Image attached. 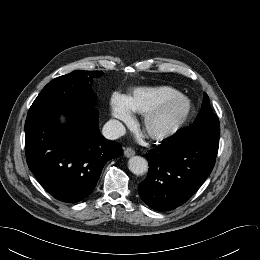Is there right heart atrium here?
Returning a JSON list of instances; mask_svg holds the SVG:
<instances>
[{
  "label": "right heart atrium",
  "mask_w": 260,
  "mask_h": 260,
  "mask_svg": "<svg viewBox=\"0 0 260 260\" xmlns=\"http://www.w3.org/2000/svg\"><path fill=\"white\" fill-rule=\"evenodd\" d=\"M110 106L113 118V130L115 132H120L122 124L131 122V111L127 106L126 99L118 94L113 95Z\"/></svg>",
  "instance_id": "obj_1"
}]
</instances>
